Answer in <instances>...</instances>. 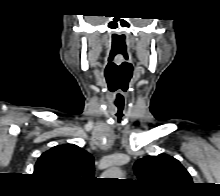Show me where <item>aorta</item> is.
<instances>
[{"instance_id": "1", "label": "aorta", "mask_w": 220, "mask_h": 196, "mask_svg": "<svg viewBox=\"0 0 220 196\" xmlns=\"http://www.w3.org/2000/svg\"><path fill=\"white\" fill-rule=\"evenodd\" d=\"M104 176H106L107 178L110 177L121 179L120 177H122V171L119 168L115 167L105 172Z\"/></svg>"}]
</instances>
